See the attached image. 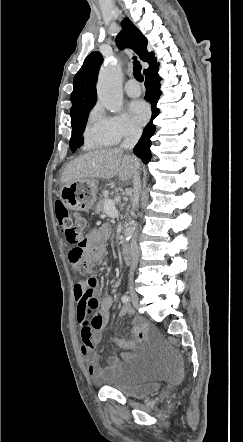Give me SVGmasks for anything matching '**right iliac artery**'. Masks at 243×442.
<instances>
[{
    "label": "right iliac artery",
    "mask_w": 243,
    "mask_h": 442,
    "mask_svg": "<svg viewBox=\"0 0 243 442\" xmlns=\"http://www.w3.org/2000/svg\"><path fill=\"white\" fill-rule=\"evenodd\" d=\"M121 300L123 303H128L130 301V297L128 295H123Z\"/></svg>",
    "instance_id": "82829eb1"
}]
</instances>
